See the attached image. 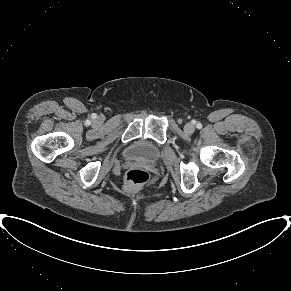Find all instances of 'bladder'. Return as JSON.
<instances>
[{
  "label": "bladder",
  "mask_w": 291,
  "mask_h": 291,
  "mask_svg": "<svg viewBox=\"0 0 291 291\" xmlns=\"http://www.w3.org/2000/svg\"><path fill=\"white\" fill-rule=\"evenodd\" d=\"M125 155L131 159L152 162L159 158L160 148L151 140L138 139L127 147Z\"/></svg>",
  "instance_id": "obj_1"
}]
</instances>
